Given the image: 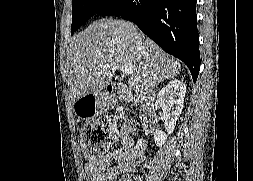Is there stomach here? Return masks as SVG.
Instances as JSON below:
<instances>
[{"label":"stomach","mask_w":253,"mask_h":181,"mask_svg":"<svg viewBox=\"0 0 253 181\" xmlns=\"http://www.w3.org/2000/svg\"><path fill=\"white\" fill-rule=\"evenodd\" d=\"M109 102V96L102 90L91 92L74 102V112L81 119L95 118Z\"/></svg>","instance_id":"obj_1"}]
</instances>
